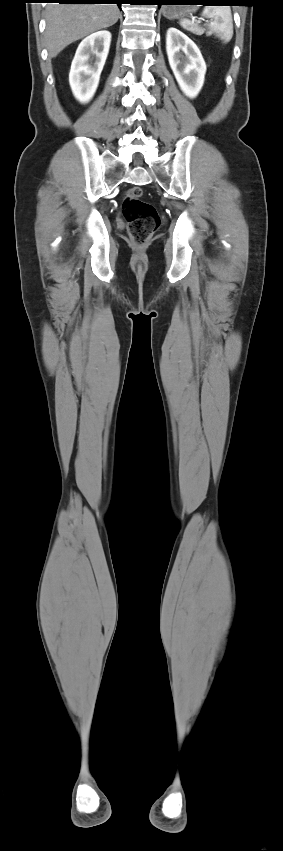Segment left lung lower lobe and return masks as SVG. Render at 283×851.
<instances>
[{
	"label": "left lung lower lobe",
	"instance_id": "0a47b994",
	"mask_svg": "<svg viewBox=\"0 0 283 851\" xmlns=\"http://www.w3.org/2000/svg\"><path fill=\"white\" fill-rule=\"evenodd\" d=\"M153 1L159 7L161 5H164V4H167V3H182V2H179L180 0H153ZM196 1H198L197 3H202L203 5H211V4L226 5V4L231 3L232 0H196Z\"/></svg>",
	"mask_w": 283,
	"mask_h": 851
}]
</instances>
